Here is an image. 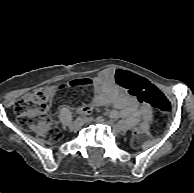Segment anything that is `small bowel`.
Instances as JSON below:
<instances>
[{"label":"small bowel","mask_w":194,"mask_h":193,"mask_svg":"<svg viewBox=\"0 0 194 193\" xmlns=\"http://www.w3.org/2000/svg\"><path fill=\"white\" fill-rule=\"evenodd\" d=\"M115 75L116 71L114 69H106L92 78L93 95L91 97V104L97 106L112 105L114 109L109 115L114 119L129 117L131 120H137L139 117H142L143 123L141 130L145 131L152 117V106L144 105L138 108L137 102L131 94L121 93L119 91L115 83ZM140 80L147 82L161 92L146 79L140 78ZM79 112L84 115L89 114L91 107L88 105L81 106Z\"/></svg>","instance_id":"c3829d8e"}]
</instances>
